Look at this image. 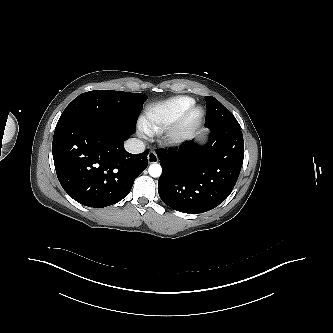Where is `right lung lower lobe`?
<instances>
[{"mask_svg":"<svg viewBox=\"0 0 333 333\" xmlns=\"http://www.w3.org/2000/svg\"><path fill=\"white\" fill-rule=\"evenodd\" d=\"M135 129L57 124L52 151L58 180L77 202L95 208L119 202L147 167L148 150L130 154L124 149Z\"/></svg>","mask_w":333,"mask_h":333,"instance_id":"1","label":"right lung lower lobe"}]
</instances>
